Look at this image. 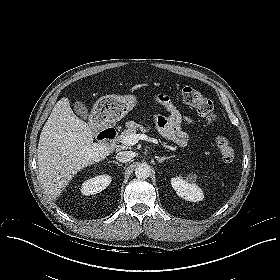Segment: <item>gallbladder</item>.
<instances>
[{"label": "gallbladder", "mask_w": 280, "mask_h": 280, "mask_svg": "<svg viewBox=\"0 0 280 280\" xmlns=\"http://www.w3.org/2000/svg\"><path fill=\"white\" fill-rule=\"evenodd\" d=\"M73 109L75 113L82 119L85 120L89 118V110L83 102L76 101L73 105Z\"/></svg>", "instance_id": "obj_1"}]
</instances>
